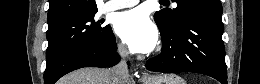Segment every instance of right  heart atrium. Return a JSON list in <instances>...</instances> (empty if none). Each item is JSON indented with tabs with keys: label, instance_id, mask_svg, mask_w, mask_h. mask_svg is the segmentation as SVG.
I'll list each match as a JSON object with an SVG mask.
<instances>
[{
	"label": "right heart atrium",
	"instance_id": "1",
	"mask_svg": "<svg viewBox=\"0 0 260 84\" xmlns=\"http://www.w3.org/2000/svg\"><path fill=\"white\" fill-rule=\"evenodd\" d=\"M116 50H117L118 54L122 57H125L127 55V50L122 43L117 44Z\"/></svg>",
	"mask_w": 260,
	"mask_h": 84
}]
</instances>
